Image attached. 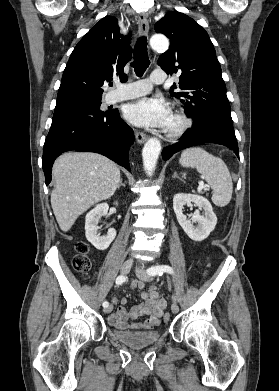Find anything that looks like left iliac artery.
Masks as SVG:
<instances>
[{"mask_svg": "<svg viewBox=\"0 0 279 391\" xmlns=\"http://www.w3.org/2000/svg\"><path fill=\"white\" fill-rule=\"evenodd\" d=\"M173 274V269L168 265H157L149 268L147 273L151 276L159 275L162 276L163 273Z\"/></svg>", "mask_w": 279, "mask_h": 391, "instance_id": "left-iliac-artery-1", "label": "left iliac artery"}]
</instances>
